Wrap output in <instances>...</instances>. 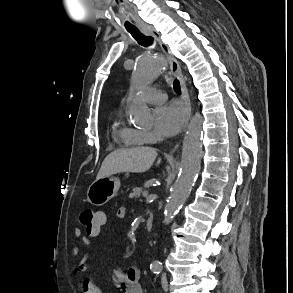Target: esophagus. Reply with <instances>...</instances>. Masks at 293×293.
<instances>
[{
  "label": "esophagus",
  "instance_id": "1",
  "mask_svg": "<svg viewBox=\"0 0 293 293\" xmlns=\"http://www.w3.org/2000/svg\"><path fill=\"white\" fill-rule=\"evenodd\" d=\"M141 30L144 34L146 35H150L153 36L156 41L158 42V44L160 45L161 49L163 50V52L168 56L169 61H170V67H171V71L172 73L179 79L180 81V85H181V92H182V98L184 100V103L186 105V110H187V119H186V123H185V127L188 124V121L191 117V101H190V97L188 94V90L186 87V82L184 80L182 71H181V67L179 65V62L176 60V58L172 55L170 48L167 44H165L161 38H160V34L154 29L153 26L151 25H143L141 27Z\"/></svg>",
  "mask_w": 293,
  "mask_h": 293
}]
</instances>
